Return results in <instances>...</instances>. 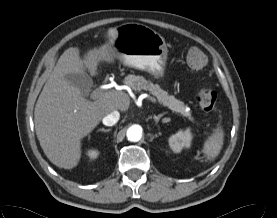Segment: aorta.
Wrapping results in <instances>:
<instances>
[{
	"label": "aorta",
	"mask_w": 277,
	"mask_h": 218,
	"mask_svg": "<svg viewBox=\"0 0 277 218\" xmlns=\"http://www.w3.org/2000/svg\"><path fill=\"white\" fill-rule=\"evenodd\" d=\"M142 137V127L139 125H132L127 130V138L131 142H138Z\"/></svg>",
	"instance_id": "aorta-1"
}]
</instances>
